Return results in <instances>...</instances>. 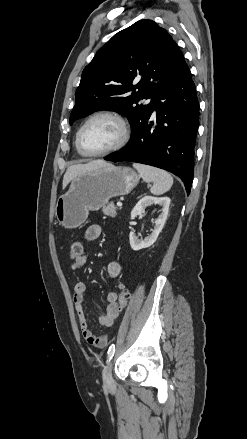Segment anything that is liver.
<instances>
[{"mask_svg":"<svg viewBox=\"0 0 247 439\" xmlns=\"http://www.w3.org/2000/svg\"><path fill=\"white\" fill-rule=\"evenodd\" d=\"M109 165L111 164L107 163L104 160L98 159L90 161L86 164H76L68 167L63 177V189H65L69 182L72 181L75 177Z\"/></svg>","mask_w":247,"mask_h":439,"instance_id":"liver-1","label":"liver"}]
</instances>
